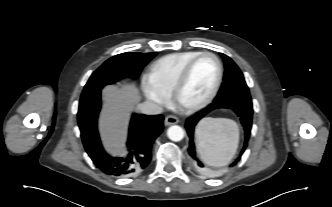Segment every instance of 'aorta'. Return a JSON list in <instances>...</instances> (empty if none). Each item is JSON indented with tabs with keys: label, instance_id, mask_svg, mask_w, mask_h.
<instances>
[{
	"label": "aorta",
	"instance_id": "762f6f07",
	"mask_svg": "<svg viewBox=\"0 0 332 207\" xmlns=\"http://www.w3.org/2000/svg\"><path fill=\"white\" fill-rule=\"evenodd\" d=\"M167 136L170 140L178 142L184 138V130L178 125H173L168 128Z\"/></svg>",
	"mask_w": 332,
	"mask_h": 207
}]
</instances>
